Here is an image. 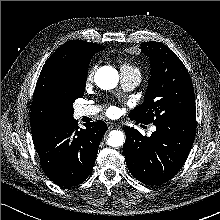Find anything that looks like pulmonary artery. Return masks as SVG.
Here are the masks:
<instances>
[{
	"instance_id": "1",
	"label": "pulmonary artery",
	"mask_w": 220,
	"mask_h": 220,
	"mask_svg": "<svg viewBox=\"0 0 220 220\" xmlns=\"http://www.w3.org/2000/svg\"><path fill=\"white\" fill-rule=\"evenodd\" d=\"M141 75L137 71H121V82L127 91L133 90L140 82ZM99 109L96 106H82L78 113L81 116H92L97 114ZM154 130V128L152 129Z\"/></svg>"
}]
</instances>
